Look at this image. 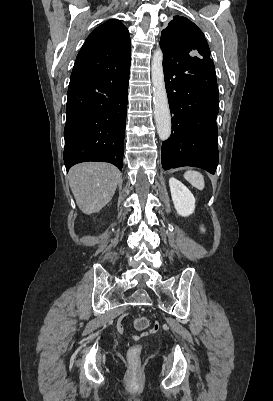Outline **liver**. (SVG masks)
I'll use <instances>...</instances> for the list:
<instances>
[{
  "mask_svg": "<svg viewBox=\"0 0 273 401\" xmlns=\"http://www.w3.org/2000/svg\"><path fill=\"white\" fill-rule=\"evenodd\" d=\"M121 180L120 170L109 162H82L70 168L69 184L82 213H99Z\"/></svg>",
  "mask_w": 273,
  "mask_h": 401,
  "instance_id": "1",
  "label": "liver"
}]
</instances>
